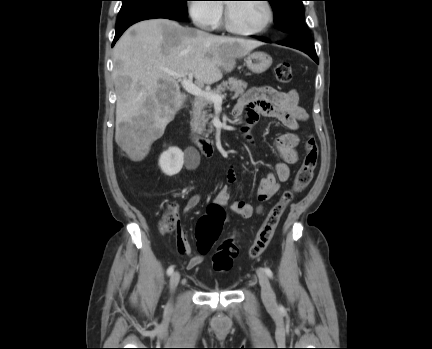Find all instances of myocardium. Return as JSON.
I'll return each instance as SVG.
<instances>
[{
	"mask_svg": "<svg viewBox=\"0 0 432 349\" xmlns=\"http://www.w3.org/2000/svg\"><path fill=\"white\" fill-rule=\"evenodd\" d=\"M260 2L264 3L268 11L267 21L261 28L256 30H242L237 28L232 22L229 3H226L225 10H224V23L226 29L233 34L241 35V36H259L266 33L267 30L271 27V25L274 22L275 13H274L273 5L270 0H261Z\"/></svg>",
	"mask_w": 432,
	"mask_h": 349,
	"instance_id": "1",
	"label": "myocardium"
}]
</instances>
